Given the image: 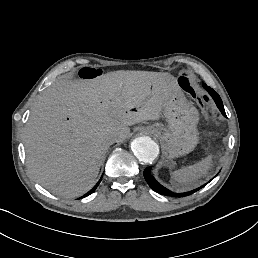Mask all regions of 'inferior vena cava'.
<instances>
[{
  "label": "inferior vena cava",
  "mask_w": 258,
  "mask_h": 258,
  "mask_svg": "<svg viewBox=\"0 0 258 258\" xmlns=\"http://www.w3.org/2000/svg\"><path fill=\"white\" fill-rule=\"evenodd\" d=\"M118 140V137H117V135L116 134H108L106 137H105V143L107 144V145H111V144H113V143H115L116 141Z\"/></svg>",
  "instance_id": "obj_1"
}]
</instances>
